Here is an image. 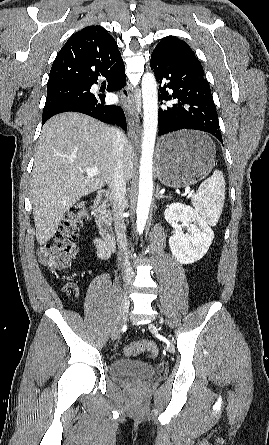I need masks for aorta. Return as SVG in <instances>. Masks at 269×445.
<instances>
[{
	"label": "aorta",
	"mask_w": 269,
	"mask_h": 445,
	"mask_svg": "<svg viewBox=\"0 0 269 445\" xmlns=\"http://www.w3.org/2000/svg\"><path fill=\"white\" fill-rule=\"evenodd\" d=\"M143 138L140 159L139 195L137 203V231L142 234L152 201V164L158 125V93L155 76L145 73L142 77Z\"/></svg>",
	"instance_id": "762f6f07"
}]
</instances>
